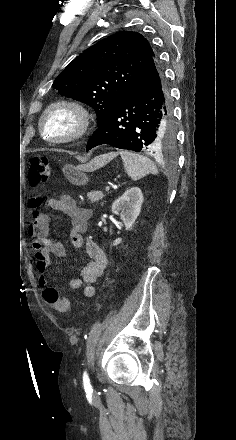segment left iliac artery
Returning a JSON list of instances; mask_svg holds the SVG:
<instances>
[{
	"instance_id": "left-iliac-artery-1",
	"label": "left iliac artery",
	"mask_w": 236,
	"mask_h": 440,
	"mask_svg": "<svg viewBox=\"0 0 236 440\" xmlns=\"http://www.w3.org/2000/svg\"><path fill=\"white\" fill-rule=\"evenodd\" d=\"M83 385H84L85 391L92 390V386L90 384V379H89L86 371H84V373H83Z\"/></svg>"
}]
</instances>
